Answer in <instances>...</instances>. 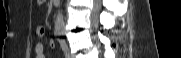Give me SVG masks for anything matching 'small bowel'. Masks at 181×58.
<instances>
[{"label":"small bowel","instance_id":"c3829d8e","mask_svg":"<svg viewBox=\"0 0 181 58\" xmlns=\"http://www.w3.org/2000/svg\"><path fill=\"white\" fill-rule=\"evenodd\" d=\"M36 34L39 38H42L45 34V29L44 27L42 26H38L36 28ZM49 45L51 47H54V41L53 40H50L49 41ZM34 51H35V55H36V58H45L44 56V47H43V44L41 42H38L35 47H34Z\"/></svg>","mask_w":181,"mask_h":58}]
</instances>
